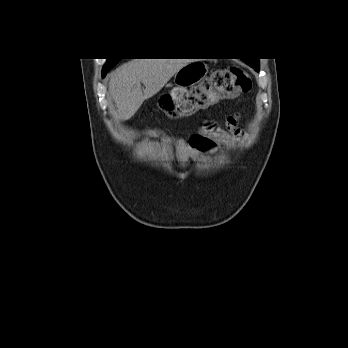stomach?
I'll return each mask as SVG.
<instances>
[{
	"label": "stomach",
	"instance_id": "obj_1",
	"mask_svg": "<svg viewBox=\"0 0 348 348\" xmlns=\"http://www.w3.org/2000/svg\"><path fill=\"white\" fill-rule=\"evenodd\" d=\"M207 73V65L200 61L188 63L176 72L174 84L175 89L181 93V113L183 115H192L199 109H206L217 101V98L208 97L202 90L196 91L194 88Z\"/></svg>",
	"mask_w": 348,
	"mask_h": 348
}]
</instances>
